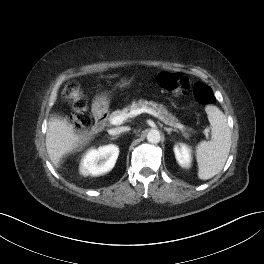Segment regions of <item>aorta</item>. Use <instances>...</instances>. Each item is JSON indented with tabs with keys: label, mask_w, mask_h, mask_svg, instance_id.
<instances>
[{
	"label": "aorta",
	"mask_w": 264,
	"mask_h": 264,
	"mask_svg": "<svg viewBox=\"0 0 264 264\" xmlns=\"http://www.w3.org/2000/svg\"><path fill=\"white\" fill-rule=\"evenodd\" d=\"M148 142L152 144H157L161 140L160 132L157 129H151L147 134Z\"/></svg>",
	"instance_id": "1"
}]
</instances>
